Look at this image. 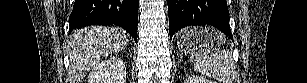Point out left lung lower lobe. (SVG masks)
<instances>
[{
  "mask_svg": "<svg viewBox=\"0 0 307 83\" xmlns=\"http://www.w3.org/2000/svg\"><path fill=\"white\" fill-rule=\"evenodd\" d=\"M170 38L183 27L211 25L233 40L226 0H167Z\"/></svg>",
  "mask_w": 307,
  "mask_h": 83,
  "instance_id": "obj_1",
  "label": "left lung lower lobe"
}]
</instances>
